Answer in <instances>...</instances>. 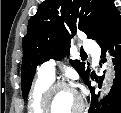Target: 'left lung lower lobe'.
<instances>
[{"label": "left lung lower lobe", "mask_w": 121, "mask_h": 113, "mask_svg": "<svg viewBox=\"0 0 121 113\" xmlns=\"http://www.w3.org/2000/svg\"><path fill=\"white\" fill-rule=\"evenodd\" d=\"M99 45L102 50V58L105 57L106 50H110L111 55L115 58L113 62L116 73L110 93L103 102H98L95 89L90 84V80L94 77L92 75L89 77L86 85L89 86L92 99L88 113H121V17L117 19L109 35Z\"/></svg>", "instance_id": "obj_1"}]
</instances>
